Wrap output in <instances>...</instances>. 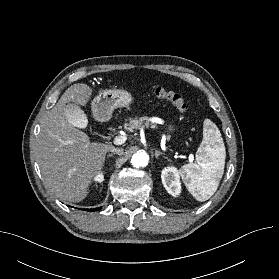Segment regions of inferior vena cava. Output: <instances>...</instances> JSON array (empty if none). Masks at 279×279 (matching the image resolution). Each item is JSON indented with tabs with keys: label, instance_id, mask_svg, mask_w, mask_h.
<instances>
[{
	"label": "inferior vena cava",
	"instance_id": "1",
	"mask_svg": "<svg viewBox=\"0 0 279 279\" xmlns=\"http://www.w3.org/2000/svg\"><path fill=\"white\" fill-rule=\"evenodd\" d=\"M110 151L112 153H115V154H118V155H123V153H124V150L122 148L113 147Z\"/></svg>",
	"mask_w": 279,
	"mask_h": 279
}]
</instances>
